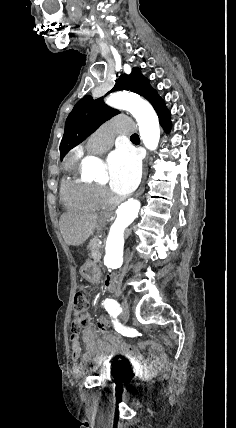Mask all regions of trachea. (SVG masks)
<instances>
[{"label": "trachea", "instance_id": "trachea-1", "mask_svg": "<svg viewBox=\"0 0 236 428\" xmlns=\"http://www.w3.org/2000/svg\"><path fill=\"white\" fill-rule=\"evenodd\" d=\"M131 139H139L137 133H133V135H131L130 137Z\"/></svg>", "mask_w": 236, "mask_h": 428}]
</instances>
